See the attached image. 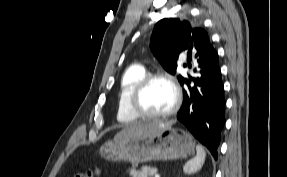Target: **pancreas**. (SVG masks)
Wrapping results in <instances>:
<instances>
[{"mask_svg":"<svg viewBox=\"0 0 287 177\" xmlns=\"http://www.w3.org/2000/svg\"><path fill=\"white\" fill-rule=\"evenodd\" d=\"M157 172L155 167L143 166L141 170H137L136 168L130 169V175L132 177H151Z\"/></svg>","mask_w":287,"mask_h":177,"instance_id":"cf45deb5","label":"pancreas"}]
</instances>
